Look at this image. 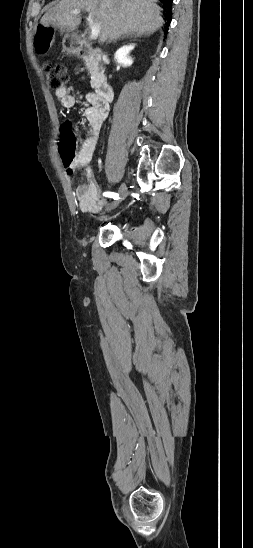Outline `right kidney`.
<instances>
[{"label": "right kidney", "mask_w": 253, "mask_h": 548, "mask_svg": "<svg viewBox=\"0 0 253 548\" xmlns=\"http://www.w3.org/2000/svg\"><path fill=\"white\" fill-rule=\"evenodd\" d=\"M135 47L134 44L124 45L119 48L114 55V59L124 67H129L133 63V59L129 56L131 50Z\"/></svg>", "instance_id": "ca27d5eb"}]
</instances>
